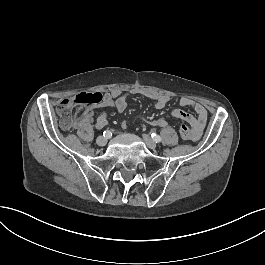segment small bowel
I'll return each instance as SVG.
<instances>
[{
    "mask_svg": "<svg viewBox=\"0 0 265 265\" xmlns=\"http://www.w3.org/2000/svg\"><path fill=\"white\" fill-rule=\"evenodd\" d=\"M131 94L134 95H143L155 102V108L160 110L165 108L168 104L170 97L165 94H159L156 92L150 91H142L140 89H133L130 93L122 94L121 91L115 89L110 92H106L103 96L99 107H110L115 109L118 112H123L127 109L128 106V99ZM179 105L182 107H190L194 110L195 115L182 110V109H174L171 111V116L176 119H180L186 122L189 127L191 128V141H198L204 131V128L207 123L208 112L205 106L190 97L183 96L179 99ZM140 121H143L145 118L140 116L138 118ZM135 116L130 118L128 121L131 123L136 122L138 120ZM94 120V112L91 108H85L77 118L74 123L72 124L74 127L82 128L89 125ZM145 124L148 122L146 119L143 121ZM95 126L97 128H103L107 125V112L102 111L98 114V116L94 120ZM153 126L164 128L167 126V121L165 118H158L156 120H152L150 122ZM71 125V126H72ZM122 128H126L127 122L123 121L121 124Z\"/></svg>",
    "mask_w": 265,
    "mask_h": 265,
    "instance_id": "small-bowel-1",
    "label": "small bowel"
}]
</instances>
